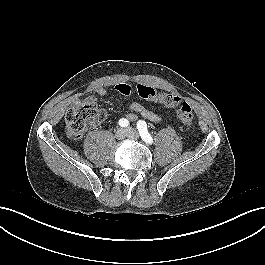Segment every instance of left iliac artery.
Wrapping results in <instances>:
<instances>
[{"label":"left iliac artery","mask_w":265,"mask_h":265,"mask_svg":"<svg viewBox=\"0 0 265 265\" xmlns=\"http://www.w3.org/2000/svg\"><path fill=\"white\" fill-rule=\"evenodd\" d=\"M137 129H138L139 134H140L141 138L143 139V141H145L148 144L153 143V138L151 137V135L148 132L147 124L145 121L139 120L137 122Z\"/></svg>","instance_id":"obj_1"}]
</instances>
